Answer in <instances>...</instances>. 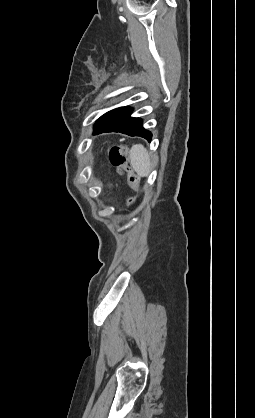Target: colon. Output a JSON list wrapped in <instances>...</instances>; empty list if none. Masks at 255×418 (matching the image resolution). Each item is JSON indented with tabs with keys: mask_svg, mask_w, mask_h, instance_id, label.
<instances>
[{
	"mask_svg": "<svg viewBox=\"0 0 255 418\" xmlns=\"http://www.w3.org/2000/svg\"><path fill=\"white\" fill-rule=\"evenodd\" d=\"M109 160L116 169L123 173L128 171L127 164H126V148L123 146H113L109 151ZM129 182L133 189L135 190L136 194L140 193V182L139 178L132 172H129ZM136 198V197H135ZM135 198L130 199L129 203H133Z\"/></svg>",
	"mask_w": 255,
	"mask_h": 418,
	"instance_id": "5ec220e1",
	"label": "colon"
}]
</instances>
